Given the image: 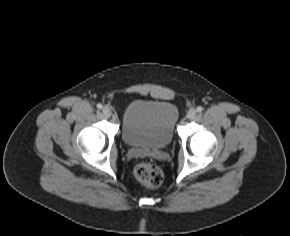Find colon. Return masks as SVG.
<instances>
[{"label": "colon", "mask_w": 290, "mask_h": 236, "mask_svg": "<svg viewBox=\"0 0 290 236\" xmlns=\"http://www.w3.org/2000/svg\"><path fill=\"white\" fill-rule=\"evenodd\" d=\"M136 179L149 188H156L163 181V173L159 166L150 162L139 163L134 170Z\"/></svg>", "instance_id": "5ec220e1"}]
</instances>
